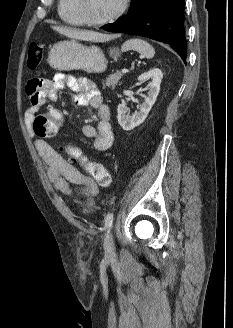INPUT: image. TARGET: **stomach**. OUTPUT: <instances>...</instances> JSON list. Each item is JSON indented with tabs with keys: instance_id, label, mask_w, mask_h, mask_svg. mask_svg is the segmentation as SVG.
<instances>
[{
	"instance_id": "stomach-1",
	"label": "stomach",
	"mask_w": 233,
	"mask_h": 328,
	"mask_svg": "<svg viewBox=\"0 0 233 328\" xmlns=\"http://www.w3.org/2000/svg\"><path fill=\"white\" fill-rule=\"evenodd\" d=\"M110 56H120L118 48L110 49ZM49 65L59 71L83 70L88 73H102L107 67L106 58L95 45L86 46L77 41H61L49 52Z\"/></svg>"
}]
</instances>
